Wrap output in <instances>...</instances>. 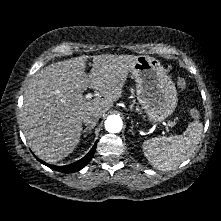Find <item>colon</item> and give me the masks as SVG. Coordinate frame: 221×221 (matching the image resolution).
<instances>
[{
    "label": "colon",
    "mask_w": 221,
    "mask_h": 221,
    "mask_svg": "<svg viewBox=\"0 0 221 221\" xmlns=\"http://www.w3.org/2000/svg\"><path fill=\"white\" fill-rule=\"evenodd\" d=\"M177 85H178L179 88L184 89L186 87V82L183 78H179L177 80ZM190 115H191L192 118L196 119L200 116V113L197 109L192 108V109H190Z\"/></svg>",
    "instance_id": "5ec220e1"
}]
</instances>
